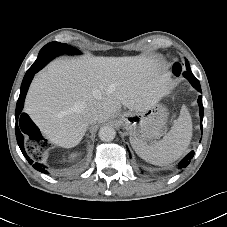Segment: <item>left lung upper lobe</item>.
Returning a JSON list of instances; mask_svg holds the SVG:
<instances>
[{"label":"left lung upper lobe","mask_w":227,"mask_h":227,"mask_svg":"<svg viewBox=\"0 0 227 227\" xmlns=\"http://www.w3.org/2000/svg\"><path fill=\"white\" fill-rule=\"evenodd\" d=\"M184 77L186 79L189 80V82L191 83V85L196 88V87H200V83L197 80V78L193 75V73L191 72L190 66H189V62L188 60H186V71L183 73Z\"/></svg>","instance_id":"left-lung-upper-lobe-1"}]
</instances>
